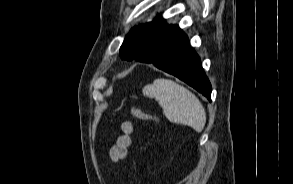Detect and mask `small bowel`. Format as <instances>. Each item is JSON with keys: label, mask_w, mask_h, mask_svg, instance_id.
I'll use <instances>...</instances> for the list:
<instances>
[{"label": "small bowel", "mask_w": 293, "mask_h": 184, "mask_svg": "<svg viewBox=\"0 0 293 184\" xmlns=\"http://www.w3.org/2000/svg\"><path fill=\"white\" fill-rule=\"evenodd\" d=\"M121 129L123 135H121L116 144L111 148L109 156L113 162H118L127 156L128 147L132 143L133 125L131 122L126 121L122 124Z\"/></svg>", "instance_id": "obj_1"}]
</instances>
